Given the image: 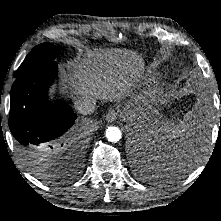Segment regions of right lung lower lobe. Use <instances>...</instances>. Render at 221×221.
<instances>
[{
    "instance_id": "obj_1",
    "label": "right lung lower lobe",
    "mask_w": 221,
    "mask_h": 221,
    "mask_svg": "<svg viewBox=\"0 0 221 221\" xmlns=\"http://www.w3.org/2000/svg\"><path fill=\"white\" fill-rule=\"evenodd\" d=\"M56 72L57 63L50 61L24 73L13 83L9 128L26 156L59 143L77 118L65 102L48 100V89Z\"/></svg>"
}]
</instances>
